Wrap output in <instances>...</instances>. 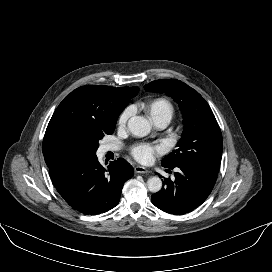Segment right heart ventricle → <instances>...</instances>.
<instances>
[{
    "mask_svg": "<svg viewBox=\"0 0 272 272\" xmlns=\"http://www.w3.org/2000/svg\"><path fill=\"white\" fill-rule=\"evenodd\" d=\"M149 119L153 122H170L174 116V107L172 103L163 97L148 100L140 105Z\"/></svg>",
    "mask_w": 272,
    "mask_h": 272,
    "instance_id": "obj_1",
    "label": "right heart ventricle"
}]
</instances>
